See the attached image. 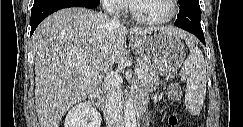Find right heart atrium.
Instances as JSON below:
<instances>
[{
  "instance_id": "1",
  "label": "right heart atrium",
  "mask_w": 243,
  "mask_h": 127,
  "mask_svg": "<svg viewBox=\"0 0 243 127\" xmlns=\"http://www.w3.org/2000/svg\"><path fill=\"white\" fill-rule=\"evenodd\" d=\"M101 3L110 14H119L124 10L123 0H102Z\"/></svg>"
}]
</instances>
